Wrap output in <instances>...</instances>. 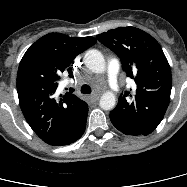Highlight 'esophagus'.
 Wrapping results in <instances>:
<instances>
[{
	"mask_svg": "<svg viewBox=\"0 0 187 187\" xmlns=\"http://www.w3.org/2000/svg\"><path fill=\"white\" fill-rule=\"evenodd\" d=\"M100 95L99 94H93L91 96H89L90 101L94 102L97 101L99 99Z\"/></svg>",
	"mask_w": 187,
	"mask_h": 187,
	"instance_id": "34e87169",
	"label": "esophagus"
}]
</instances>
